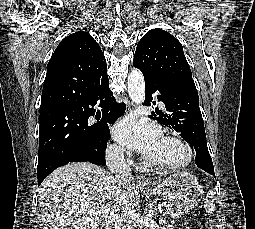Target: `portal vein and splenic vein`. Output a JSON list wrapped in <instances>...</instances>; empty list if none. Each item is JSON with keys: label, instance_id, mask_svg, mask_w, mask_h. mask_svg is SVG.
<instances>
[{"label": "portal vein and splenic vein", "instance_id": "18ae733b", "mask_svg": "<svg viewBox=\"0 0 255 229\" xmlns=\"http://www.w3.org/2000/svg\"><path fill=\"white\" fill-rule=\"evenodd\" d=\"M163 222H164V221H163V220H161V221H160V224L162 225V224H163Z\"/></svg>", "mask_w": 255, "mask_h": 229}]
</instances>
